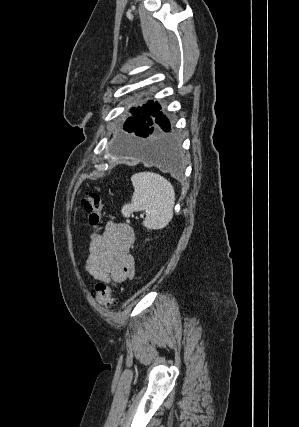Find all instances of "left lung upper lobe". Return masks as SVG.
Wrapping results in <instances>:
<instances>
[{
	"label": "left lung upper lobe",
	"mask_w": 299,
	"mask_h": 427,
	"mask_svg": "<svg viewBox=\"0 0 299 427\" xmlns=\"http://www.w3.org/2000/svg\"><path fill=\"white\" fill-rule=\"evenodd\" d=\"M160 110V105L157 106L153 101H148L143 107L132 108L133 117H129L124 129L127 132H134L137 136L145 137L148 129L153 126V121Z\"/></svg>",
	"instance_id": "5c2ea615"
}]
</instances>
